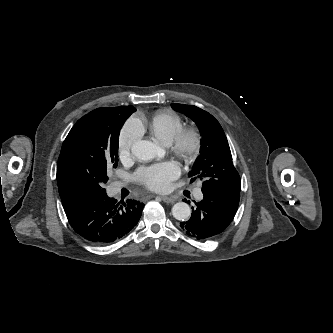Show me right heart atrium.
<instances>
[{
  "label": "right heart atrium",
  "mask_w": 333,
  "mask_h": 333,
  "mask_svg": "<svg viewBox=\"0 0 333 333\" xmlns=\"http://www.w3.org/2000/svg\"><path fill=\"white\" fill-rule=\"evenodd\" d=\"M142 128L139 121L131 117L123 125L117 142L118 154L121 159L127 158L134 144L141 138Z\"/></svg>",
  "instance_id": "d8ad5b80"
}]
</instances>
